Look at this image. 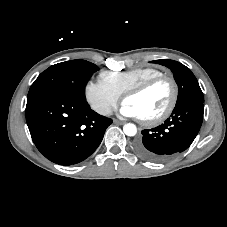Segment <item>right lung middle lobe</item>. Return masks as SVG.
I'll return each mask as SVG.
<instances>
[{
    "instance_id": "dd1d6c3e",
    "label": "right lung middle lobe",
    "mask_w": 227,
    "mask_h": 227,
    "mask_svg": "<svg viewBox=\"0 0 227 227\" xmlns=\"http://www.w3.org/2000/svg\"><path fill=\"white\" fill-rule=\"evenodd\" d=\"M99 68L85 60H72L50 66L31 85L27 99L56 93L83 99L82 91L89 77Z\"/></svg>"
}]
</instances>
